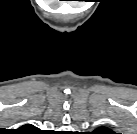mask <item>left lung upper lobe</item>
Listing matches in <instances>:
<instances>
[{
  "label": "left lung upper lobe",
  "mask_w": 137,
  "mask_h": 134,
  "mask_svg": "<svg viewBox=\"0 0 137 134\" xmlns=\"http://www.w3.org/2000/svg\"><path fill=\"white\" fill-rule=\"evenodd\" d=\"M95 134H114L112 130L106 127H99L95 130Z\"/></svg>",
  "instance_id": "left-lung-upper-lobe-1"
}]
</instances>
